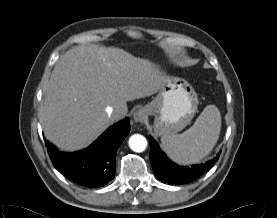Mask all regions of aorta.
<instances>
[{
  "label": "aorta",
  "mask_w": 277,
  "mask_h": 218,
  "mask_svg": "<svg viewBox=\"0 0 277 218\" xmlns=\"http://www.w3.org/2000/svg\"><path fill=\"white\" fill-rule=\"evenodd\" d=\"M129 147L134 152H143L147 147V140L140 134H134L129 138Z\"/></svg>",
  "instance_id": "762f6f07"
}]
</instances>
